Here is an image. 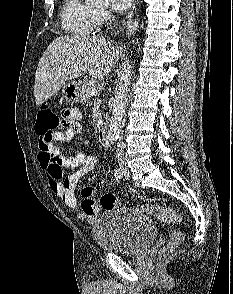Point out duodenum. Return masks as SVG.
Returning <instances> with one entry per match:
<instances>
[{"mask_svg": "<svg viewBox=\"0 0 233 294\" xmlns=\"http://www.w3.org/2000/svg\"><path fill=\"white\" fill-rule=\"evenodd\" d=\"M99 140L103 146H109L110 145V137L108 130L106 128H102L99 131Z\"/></svg>", "mask_w": 233, "mask_h": 294, "instance_id": "duodenum-1", "label": "duodenum"}]
</instances>
